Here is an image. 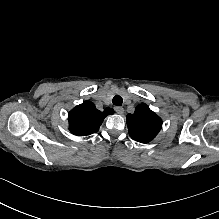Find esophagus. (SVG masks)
I'll list each match as a JSON object with an SVG mask.
<instances>
[{
  "instance_id": "34e87169",
  "label": "esophagus",
  "mask_w": 219,
  "mask_h": 219,
  "mask_svg": "<svg viewBox=\"0 0 219 219\" xmlns=\"http://www.w3.org/2000/svg\"><path fill=\"white\" fill-rule=\"evenodd\" d=\"M115 111L121 115V114H123L124 109L122 107H115Z\"/></svg>"
}]
</instances>
